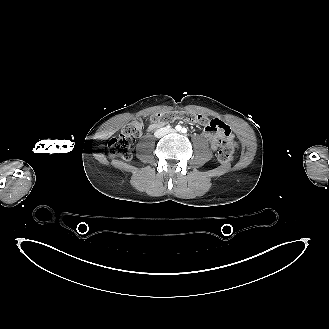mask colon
Wrapping results in <instances>:
<instances>
[{
    "mask_svg": "<svg viewBox=\"0 0 329 329\" xmlns=\"http://www.w3.org/2000/svg\"><path fill=\"white\" fill-rule=\"evenodd\" d=\"M177 120L197 123L205 126L206 128L215 130V128H212L209 125V122L212 119L191 112L167 111L153 114L149 118V122L156 126L171 123ZM217 122L220 123L218 120ZM144 125L145 122L142 118L133 119L121 130L118 135L112 137L107 145L110 157L114 159H120L122 161L131 160L133 157L132 139L139 136L143 132ZM235 150L236 143L233 140L224 139L222 141L221 148L218 151V159L222 163L231 162L234 157Z\"/></svg>",
    "mask_w": 329,
    "mask_h": 329,
    "instance_id": "5ec220e1",
    "label": "colon"
}]
</instances>
